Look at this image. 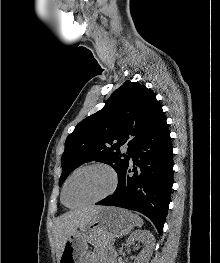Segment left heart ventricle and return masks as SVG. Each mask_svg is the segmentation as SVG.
<instances>
[{"mask_svg": "<svg viewBox=\"0 0 220 263\" xmlns=\"http://www.w3.org/2000/svg\"><path fill=\"white\" fill-rule=\"evenodd\" d=\"M110 184V175L104 169H85L77 173L69 182L65 201L68 205H76L91 200L105 193Z\"/></svg>", "mask_w": 220, "mask_h": 263, "instance_id": "obj_1", "label": "left heart ventricle"}]
</instances>
